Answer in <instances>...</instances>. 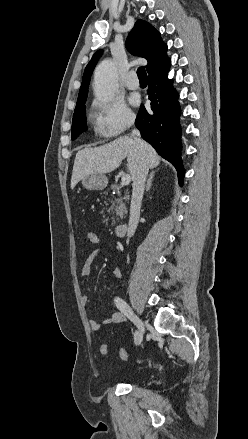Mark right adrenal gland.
Segmentation results:
<instances>
[{
  "instance_id": "right-adrenal-gland-1",
  "label": "right adrenal gland",
  "mask_w": 248,
  "mask_h": 439,
  "mask_svg": "<svg viewBox=\"0 0 248 439\" xmlns=\"http://www.w3.org/2000/svg\"><path fill=\"white\" fill-rule=\"evenodd\" d=\"M154 174H155V171H152L149 175V178H148L147 184H146V191H149L151 186H152V180H153Z\"/></svg>"
}]
</instances>
